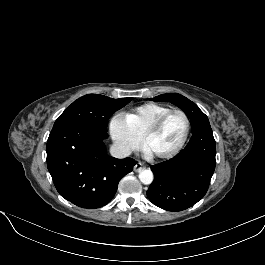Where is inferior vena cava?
<instances>
[{"mask_svg": "<svg viewBox=\"0 0 265 265\" xmlns=\"http://www.w3.org/2000/svg\"><path fill=\"white\" fill-rule=\"evenodd\" d=\"M110 154L115 158L123 159L131 154V149L126 144L115 141L110 147Z\"/></svg>", "mask_w": 265, "mask_h": 265, "instance_id": "inferior-vena-cava-1", "label": "inferior vena cava"}]
</instances>
